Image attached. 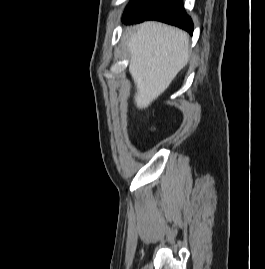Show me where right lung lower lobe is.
Masks as SVG:
<instances>
[{
  "label": "right lung lower lobe",
  "mask_w": 265,
  "mask_h": 269,
  "mask_svg": "<svg viewBox=\"0 0 265 269\" xmlns=\"http://www.w3.org/2000/svg\"><path fill=\"white\" fill-rule=\"evenodd\" d=\"M145 20H158L178 26L190 34L193 32L192 20L186 14L181 0H132L122 21L130 24Z\"/></svg>",
  "instance_id": "98d812e1"
}]
</instances>
